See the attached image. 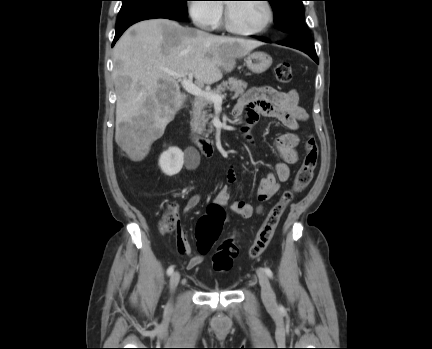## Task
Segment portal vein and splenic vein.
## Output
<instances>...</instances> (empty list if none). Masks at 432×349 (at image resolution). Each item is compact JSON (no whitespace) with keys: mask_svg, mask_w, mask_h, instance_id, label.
<instances>
[{"mask_svg":"<svg viewBox=\"0 0 432 349\" xmlns=\"http://www.w3.org/2000/svg\"><path fill=\"white\" fill-rule=\"evenodd\" d=\"M165 72L169 76L174 77L176 79H179V81L181 82V85L183 86V88L187 92H189L190 94H193L195 96L204 97L206 99L211 100L214 104H219V105L222 104V100L225 98V95L216 94V93H213L211 91H205L201 87H199L196 84H194L193 80H192L193 79V74L192 73L179 74V73H177L175 71L168 70V69H165ZM181 77H182V79H181Z\"/></svg>","mask_w":432,"mask_h":349,"instance_id":"portal-vein-and-splenic-vein-1","label":"portal vein and splenic vein"}]
</instances>
